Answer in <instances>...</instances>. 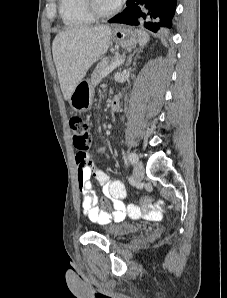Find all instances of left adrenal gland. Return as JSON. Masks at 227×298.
I'll return each instance as SVG.
<instances>
[{
	"instance_id": "1",
	"label": "left adrenal gland",
	"mask_w": 227,
	"mask_h": 298,
	"mask_svg": "<svg viewBox=\"0 0 227 298\" xmlns=\"http://www.w3.org/2000/svg\"><path fill=\"white\" fill-rule=\"evenodd\" d=\"M141 52H142L141 49H136V50H135V51L128 57L125 66H129V65L131 64V62H132V58L135 56L134 59H136V58L139 56V54H140Z\"/></svg>"
}]
</instances>
